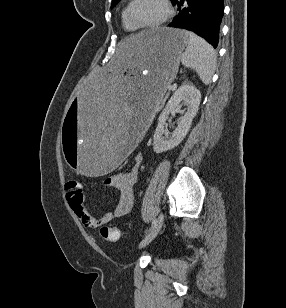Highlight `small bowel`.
<instances>
[{
    "instance_id": "small-bowel-1",
    "label": "small bowel",
    "mask_w": 286,
    "mask_h": 308,
    "mask_svg": "<svg viewBox=\"0 0 286 308\" xmlns=\"http://www.w3.org/2000/svg\"><path fill=\"white\" fill-rule=\"evenodd\" d=\"M143 161V155L137 154L134 163L128 171L120 172L108 177L105 184L120 192L119 200L115 208L101 217L92 216L84 204L81 185L79 190H67L66 199L79 217L84 227L97 229L100 226L128 214L133 206V188L138 178V172Z\"/></svg>"
}]
</instances>
